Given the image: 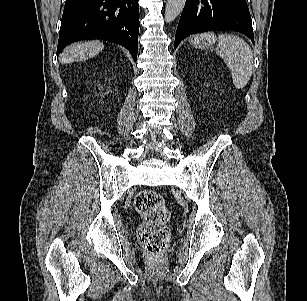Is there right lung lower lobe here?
<instances>
[{"instance_id":"1","label":"right lung lower lobe","mask_w":307,"mask_h":301,"mask_svg":"<svg viewBox=\"0 0 307 301\" xmlns=\"http://www.w3.org/2000/svg\"><path fill=\"white\" fill-rule=\"evenodd\" d=\"M138 0H66L57 54L72 42L104 39L125 46L137 60Z\"/></svg>"}]
</instances>
